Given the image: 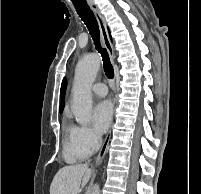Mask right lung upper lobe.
I'll list each match as a JSON object with an SVG mask.
<instances>
[{"label":"right lung upper lobe","instance_id":"obj_1","mask_svg":"<svg viewBox=\"0 0 201 194\" xmlns=\"http://www.w3.org/2000/svg\"><path fill=\"white\" fill-rule=\"evenodd\" d=\"M64 95H65V88H61L60 112H62V111H63V108H64Z\"/></svg>","mask_w":201,"mask_h":194}]
</instances>
